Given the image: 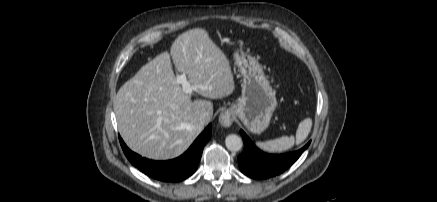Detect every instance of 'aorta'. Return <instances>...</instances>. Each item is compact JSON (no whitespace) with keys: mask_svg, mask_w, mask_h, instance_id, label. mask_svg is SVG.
Here are the masks:
<instances>
[{"mask_svg":"<svg viewBox=\"0 0 437 202\" xmlns=\"http://www.w3.org/2000/svg\"><path fill=\"white\" fill-rule=\"evenodd\" d=\"M225 145L230 151H239L243 146V142L238 135L230 134L225 139Z\"/></svg>","mask_w":437,"mask_h":202,"instance_id":"762f6f07","label":"aorta"}]
</instances>
